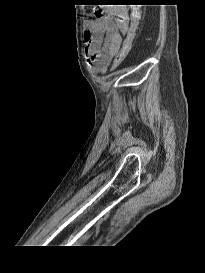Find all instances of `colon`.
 <instances>
[{
	"instance_id": "obj_1",
	"label": "colon",
	"mask_w": 205,
	"mask_h": 273,
	"mask_svg": "<svg viewBox=\"0 0 205 273\" xmlns=\"http://www.w3.org/2000/svg\"><path fill=\"white\" fill-rule=\"evenodd\" d=\"M136 27H137V16L134 15V19L130 28V31L128 33V36L123 44V47L121 49V51L119 52V54L117 55V57L115 58V61L113 63V69H117L122 62L125 60V58L127 57L132 43H133V39L135 37V31H136Z\"/></svg>"
}]
</instances>
